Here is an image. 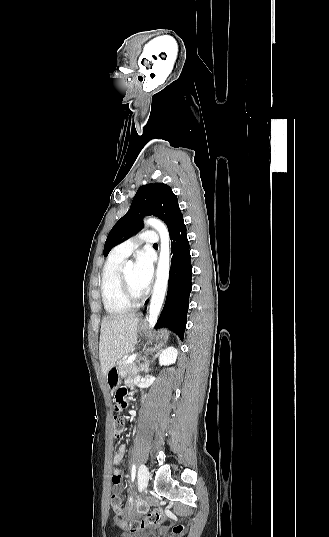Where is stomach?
Wrapping results in <instances>:
<instances>
[{
    "mask_svg": "<svg viewBox=\"0 0 329 537\" xmlns=\"http://www.w3.org/2000/svg\"><path fill=\"white\" fill-rule=\"evenodd\" d=\"M166 333L164 331L159 332V338L163 339ZM106 381L110 389H115L120 384V375L118 373V367L115 365L110 369L106 375Z\"/></svg>",
    "mask_w": 329,
    "mask_h": 537,
    "instance_id": "obj_1",
    "label": "stomach"
}]
</instances>
